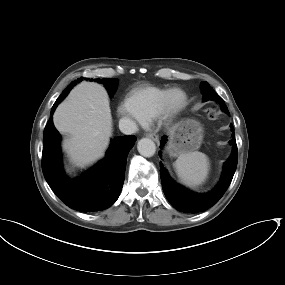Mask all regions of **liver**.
Instances as JSON below:
<instances>
[{
    "label": "liver",
    "instance_id": "1",
    "mask_svg": "<svg viewBox=\"0 0 285 285\" xmlns=\"http://www.w3.org/2000/svg\"><path fill=\"white\" fill-rule=\"evenodd\" d=\"M53 122L69 135L63 149L71 161L79 167L93 163L104 155L113 129L105 88L93 82L78 84L57 107Z\"/></svg>",
    "mask_w": 285,
    "mask_h": 285
}]
</instances>
